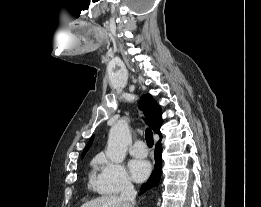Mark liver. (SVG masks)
<instances>
[{
  "label": "liver",
  "mask_w": 261,
  "mask_h": 207,
  "mask_svg": "<svg viewBox=\"0 0 261 207\" xmlns=\"http://www.w3.org/2000/svg\"><path fill=\"white\" fill-rule=\"evenodd\" d=\"M81 207H131V204L116 195H106L93 199Z\"/></svg>",
  "instance_id": "6515ba94"
}]
</instances>
